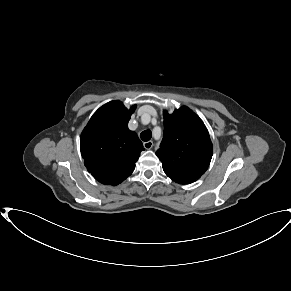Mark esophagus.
Returning a JSON list of instances; mask_svg holds the SVG:
<instances>
[{
	"instance_id": "1",
	"label": "esophagus",
	"mask_w": 291,
	"mask_h": 291,
	"mask_svg": "<svg viewBox=\"0 0 291 291\" xmlns=\"http://www.w3.org/2000/svg\"><path fill=\"white\" fill-rule=\"evenodd\" d=\"M143 146L145 149L150 150L153 147V142L152 141L144 142Z\"/></svg>"
}]
</instances>
